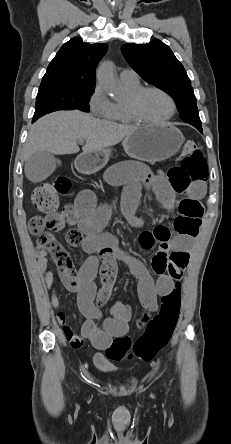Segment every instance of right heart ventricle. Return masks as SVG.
Instances as JSON below:
<instances>
[{"instance_id": "obj_1", "label": "right heart ventricle", "mask_w": 231, "mask_h": 444, "mask_svg": "<svg viewBox=\"0 0 231 444\" xmlns=\"http://www.w3.org/2000/svg\"><path fill=\"white\" fill-rule=\"evenodd\" d=\"M122 85L127 93V97L124 100L112 102L111 111L107 117V119L123 124H131L135 122L132 117L129 115L126 102L128 97L135 92L137 89L141 87L139 80L138 81H122Z\"/></svg>"}]
</instances>
